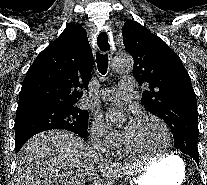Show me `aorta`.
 I'll use <instances>...</instances> for the list:
<instances>
[{
	"instance_id": "obj_1",
	"label": "aorta",
	"mask_w": 207,
	"mask_h": 185,
	"mask_svg": "<svg viewBox=\"0 0 207 185\" xmlns=\"http://www.w3.org/2000/svg\"><path fill=\"white\" fill-rule=\"evenodd\" d=\"M133 58L128 54H119L112 60L111 67L115 72H129L133 67Z\"/></svg>"
}]
</instances>
